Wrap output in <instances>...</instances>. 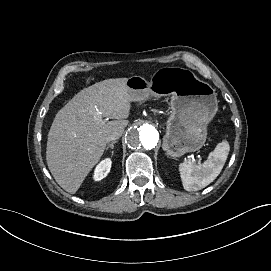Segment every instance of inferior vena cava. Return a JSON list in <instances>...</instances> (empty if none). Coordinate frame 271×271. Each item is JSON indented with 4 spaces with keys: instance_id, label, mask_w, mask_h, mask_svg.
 Wrapping results in <instances>:
<instances>
[{
    "instance_id": "inferior-vena-cava-1",
    "label": "inferior vena cava",
    "mask_w": 271,
    "mask_h": 271,
    "mask_svg": "<svg viewBox=\"0 0 271 271\" xmlns=\"http://www.w3.org/2000/svg\"><path fill=\"white\" fill-rule=\"evenodd\" d=\"M121 135H122L121 132H114L107 137V142L115 141V140L119 139Z\"/></svg>"
}]
</instances>
